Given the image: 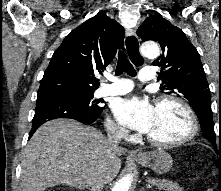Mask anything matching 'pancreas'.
I'll use <instances>...</instances> for the list:
<instances>
[{
	"label": "pancreas",
	"instance_id": "pancreas-1",
	"mask_svg": "<svg viewBox=\"0 0 221 191\" xmlns=\"http://www.w3.org/2000/svg\"><path fill=\"white\" fill-rule=\"evenodd\" d=\"M147 182L155 186L159 190H165V191H183L182 188L174 182L167 181L165 179H159V178H152L148 177Z\"/></svg>",
	"mask_w": 221,
	"mask_h": 191
}]
</instances>
